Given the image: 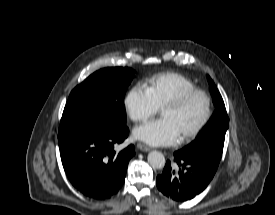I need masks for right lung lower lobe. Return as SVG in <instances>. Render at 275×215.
<instances>
[{
	"instance_id": "obj_1",
	"label": "right lung lower lobe",
	"mask_w": 275,
	"mask_h": 215,
	"mask_svg": "<svg viewBox=\"0 0 275 215\" xmlns=\"http://www.w3.org/2000/svg\"><path fill=\"white\" fill-rule=\"evenodd\" d=\"M127 126L105 131L58 133L62 164L72 185L84 195L106 199L116 194L125 181L135 149L129 145L116 153L114 146L128 136Z\"/></svg>"
}]
</instances>
